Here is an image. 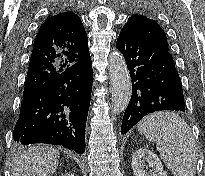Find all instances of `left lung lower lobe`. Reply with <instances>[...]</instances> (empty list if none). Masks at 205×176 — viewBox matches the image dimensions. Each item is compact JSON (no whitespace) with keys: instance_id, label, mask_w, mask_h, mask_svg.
I'll return each instance as SVG.
<instances>
[{"instance_id":"obj_1","label":"left lung lower lobe","mask_w":205,"mask_h":176,"mask_svg":"<svg viewBox=\"0 0 205 176\" xmlns=\"http://www.w3.org/2000/svg\"><path fill=\"white\" fill-rule=\"evenodd\" d=\"M116 47L126 60L133 82L121 134H126L149 113L161 110L185 112L182 84L168 50L141 40L126 28H122Z\"/></svg>"}]
</instances>
